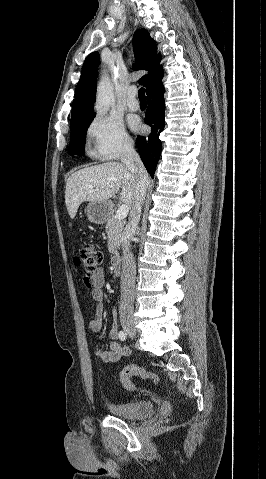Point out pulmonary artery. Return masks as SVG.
<instances>
[{"mask_svg": "<svg viewBox=\"0 0 266 479\" xmlns=\"http://www.w3.org/2000/svg\"><path fill=\"white\" fill-rule=\"evenodd\" d=\"M126 104L131 111H137L140 107L139 101L136 99V91L131 88L127 92Z\"/></svg>", "mask_w": 266, "mask_h": 479, "instance_id": "pulmonary-artery-1", "label": "pulmonary artery"}]
</instances>
